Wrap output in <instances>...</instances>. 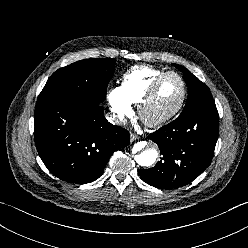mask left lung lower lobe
<instances>
[{
	"mask_svg": "<svg viewBox=\"0 0 248 248\" xmlns=\"http://www.w3.org/2000/svg\"><path fill=\"white\" fill-rule=\"evenodd\" d=\"M216 106L179 116L150 135L161 160L150 169L139 170L149 185L161 189L182 187L192 182L210 164L218 138Z\"/></svg>",
	"mask_w": 248,
	"mask_h": 248,
	"instance_id": "0a47b994",
	"label": "left lung lower lobe"
}]
</instances>
